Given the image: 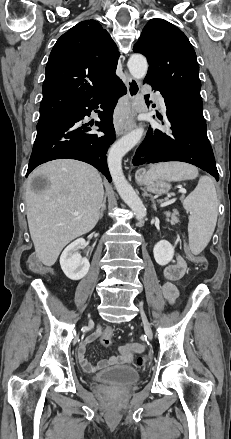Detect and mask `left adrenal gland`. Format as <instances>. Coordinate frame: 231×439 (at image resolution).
Wrapping results in <instances>:
<instances>
[{
  "label": "left adrenal gland",
  "instance_id": "obj_1",
  "mask_svg": "<svg viewBox=\"0 0 231 439\" xmlns=\"http://www.w3.org/2000/svg\"><path fill=\"white\" fill-rule=\"evenodd\" d=\"M143 196H149L150 197V200L152 202V207L156 211V204H155L154 198L152 196H150L149 194H147L145 191L143 193Z\"/></svg>",
  "mask_w": 231,
  "mask_h": 439
}]
</instances>
